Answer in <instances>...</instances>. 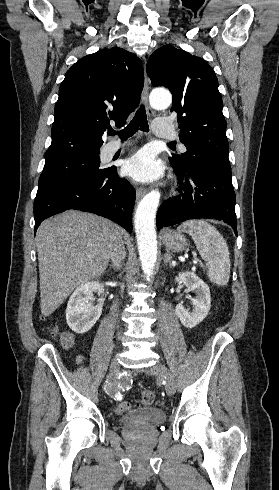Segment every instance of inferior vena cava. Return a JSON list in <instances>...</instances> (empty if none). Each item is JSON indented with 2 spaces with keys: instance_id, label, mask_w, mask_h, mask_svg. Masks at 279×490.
Listing matches in <instances>:
<instances>
[{
  "instance_id": "inferior-vena-cava-1",
  "label": "inferior vena cava",
  "mask_w": 279,
  "mask_h": 490,
  "mask_svg": "<svg viewBox=\"0 0 279 490\" xmlns=\"http://www.w3.org/2000/svg\"><path fill=\"white\" fill-rule=\"evenodd\" d=\"M109 258L112 262V266H115V268H122V264H124V260L126 258V252L124 248V242L120 236L114 240L112 244V250L109 254ZM119 308V300H115L113 302V306L110 308V314L112 316L113 322H118V318H116Z\"/></svg>"
}]
</instances>
